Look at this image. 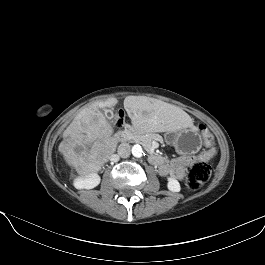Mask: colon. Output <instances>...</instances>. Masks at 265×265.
<instances>
[{"label": "colon", "instance_id": "5ec220e1", "mask_svg": "<svg viewBox=\"0 0 265 265\" xmlns=\"http://www.w3.org/2000/svg\"><path fill=\"white\" fill-rule=\"evenodd\" d=\"M125 123V113L122 110H118L115 113V125L120 128ZM200 128L205 130L204 125H200ZM205 144L211 145L213 142L212 136L208 133H204ZM211 166L203 161L195 163L189 170L187 176V186L191 190H198L204 183H206L211 176Z\"/></svg>", "mask_w": 265, "mask_h": 265}]
</instances>
